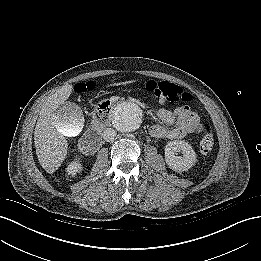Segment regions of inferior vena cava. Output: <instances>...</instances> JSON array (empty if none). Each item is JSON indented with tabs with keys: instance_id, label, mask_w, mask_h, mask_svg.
<instances>
[{
	"instance_id": "602c4592",
	"label": "inferior vena cava",
	"mask_w": 261,
	"mask_h": 261,
	"mask_svg": "<svg viewBox=\"0 0 261 261\" xmlns=\"http://www.w3.org/2000/svg\"><path fill=\"white\" fill-rule=\"evenodd\" d=\"M116 131L112 128H107L104 130L103 132V138L105 141L109 142L114 140L115 136H116Z\"/></svg>"
}]
</instances>
